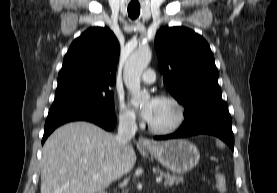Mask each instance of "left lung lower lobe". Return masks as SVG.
Segmentation results:
<instances>
[{"instance_id": "1", "label": "left lung lower lobe", "mask_w": 277, "mask_h": 193, "mask_svg": "<svg viewBox=\"0 0 277 193\" xmlns=\"http://www.w3.org/2000/svg\"><path fill=\"white\" fill-rule=\"evenodd\" d=\"M197 134H210L226 142L234 150V134L228 106L223 100L200 104L184 117L181 128L169 135L155 136V140L188 137Z\"/></svg>"}]
</instances>
